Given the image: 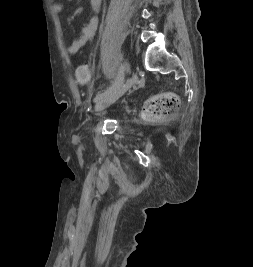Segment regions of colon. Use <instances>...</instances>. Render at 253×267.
I'll return each instance as SVG.
<instances>
[{
  "label": "colon",
  "mask_w": 253,
  "mask_h": 267,
  "mask_svg": "<svg viewBox=\"0 0 253 267\" xmlns=\"http://www.w3.org/2000/svg\"><path fill=\"white\" fill-rule=\"evenodd\" d=\"M76 79L84 83L89 79V72L86 65L81 64L76 68ZM180 100L173 93H164L149 99L146 103V112L153 117H165L178 110Z\"/></svg>",
  "instance_id": "1"
}]
</instances>
